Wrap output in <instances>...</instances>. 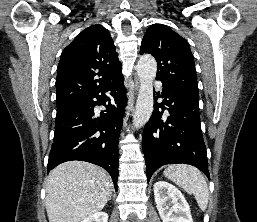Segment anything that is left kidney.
<instances>
[{
	"label": "left kidney",
	"instance_id": "obj_1",
	"mask_svg": "<svg viewBox=\"0 0 257 222\" xmlns=\"http://www.w3.org/2000/svg\"><path fill=\"white\" fill-rule=\"evenodd\" d=\"M153 189L156 207L163 222H193L189 205L175 186L157 181Z\"/></svg>",
	"mask_w": 257,
	"mask_h": 222
}]
</instances>
